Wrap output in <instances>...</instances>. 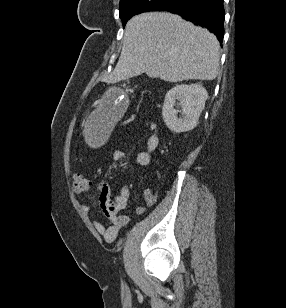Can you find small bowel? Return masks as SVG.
<instances>
[{"label":"small bowel","instance_id":"c3829d8e","mask_svg":"<svg viewBox=\"0 0 286 308\" xmlns=\"http://www.w3.org/2000/svg\"><path fill=\"white\" fill-rule=\"evenodd\" d=\"M141 127L144 131L149 132L146 150L140 152L136 161L140 166H147L151 161V155L159 145L158 127L156 123L150 120L142 122ZM124 151L118 149L114 153V158L119 160L123 158ZM130 197V189L128 186H122L118 189L114 199L111 198V191L108 185L104 184L101 187L99 195V207L102 209L104 215L110 220L108 226L100 221H94L93 226L95 230L100 233L108 242H113L119 230L128 222L127 216L121 215L120 212L127 206ZM157 201V194L152 189H147L143 194V203L136 207L137 214H143L147 207L154 205ZM82 211L86 214L91 212V207L82 205Z\"/></svg>","mask_w":286,"mask_h":308}]
</instances>
